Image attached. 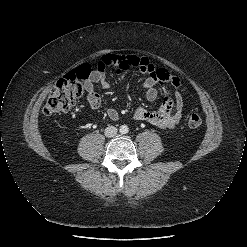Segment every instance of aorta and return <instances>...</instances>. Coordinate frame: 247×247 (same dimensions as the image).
<instances>
[{
    "label": "aorta",
    "instance_id": "1",
    "mask_svg": "<svg viewBox=\"0 0 247 247\" xmlns=\"http://www.w3.org/2000/svg\"><path fill=\"white\" fill-rule=\"evenodd\" d=\"M121 134H126L129 131V128L126 125H121L119 129Z\"/></svg>",
    "mask_w": 247,
    "mask_h": 247
}]
</instances>
